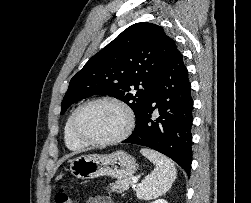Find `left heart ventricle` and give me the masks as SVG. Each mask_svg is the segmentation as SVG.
<instances>
[{
	"label": "left heart ventricle",
	"instance_id": "left-heart-ventricle-1",
	"mask_svg": "<svg viewBox=\"0 0 251 203\" xmlns=\"http://www.w3.org/2000/svg\"><path fill=\"white\" fill-rule=\"evenodd\" d=\"M126 125L121 108L111 103H96L85 108L79 116L78 129L86 137L105 140L118 135Z\"/></svg>",
	"mask_w": 251,
	"mask_h": 203
}]
</instances>
